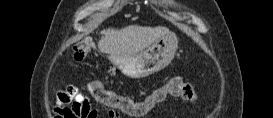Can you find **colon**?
<instances>
[{"label":"colon","instance_id":"1","mask_svg":"<svg viewBox=\"0 0 273 118\" xmlns=\"http://www.w3.org/2000/svg\"><path fill=\"white\" fill-rule=\"evenodd\" d=\"M92 43L89 40H82L74 45L73 57L76 61L85 59L90 53ZM89 89L93 97L100 103L114 108L117 111L132 116L140 117L148 112L155 104L163 101L168 95L188 97L189 100L196 101V93L192 86L185 83L180 77H171L165 83L154 89L143 101H133L129 97L117 95L115 92L104 88L98 79H93L89 83ZM60 118H62L60 116Z\"/></svg>","mask_w":273,"mask_h":118}]
</instances>
